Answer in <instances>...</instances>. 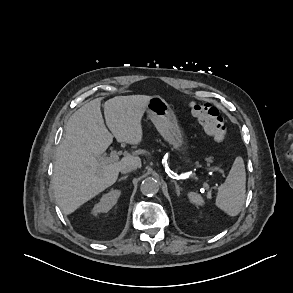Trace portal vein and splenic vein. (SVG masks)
I'll use <instances>...</instances> for the list:
<instances>
[{"label": "portal vein and splenic vein", "mask_w": 293, "mask_h": 293, "mask_svg": "<svg viewBox=\"0 0 293 293\" xmlns=\"http://www.w3.org/2000/svg\"><path fill=\"white\" fill-rule=\"evenodd\" d=\"M118 160H119V154L115 150L110 153L109 157L101 156L99 158V161H100L101 164H108V163L115 162V161H118ZM204 187L206 189L209 188L207 183H204Z\"/></svg>", "instance_id": "1"}]
</instances>
